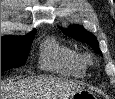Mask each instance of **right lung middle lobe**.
I'll use <instances>...</instances> for the list:
<instances>
[{
  "instance_id": "1",
  "label": "right lung middle lobe",
  "mask_w": 115,
  "mask_h": 99,
  "mask_svg": "<svg viewBox=\"0 0 115 99\" xmlns=\"http://www.w3.org/2000/svg\"><path fill=\"white\" fill-rule=\"evenodd\" d=\"M34 35L1 38V72L25 63Z\"/></svg>"
}]
</instances>
